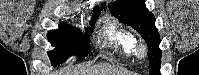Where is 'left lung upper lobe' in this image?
I'll return each mask as SVG.
<instances>
[{
  "mask_svg": "<svg viewBox=\"0 0 199 75\" xmlns=\"http://www.w3.org/2000/svg\"><path fill=\"white\" fill-rule=\"evenodd\" d=\"M109 8L119 21L130 25L144 38L148 45L149 74L161 75L160 36L155 17L146 9L144 0H116Z\"/></svg>",
  "mask_w": 199,
  "mask_h": 75,
  "instance_id": "obj_1",
  "label": "left lung upper lobe"
}]
</instances>
